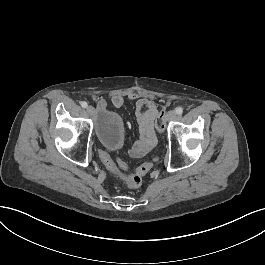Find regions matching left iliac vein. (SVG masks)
I'll return each mask as SVG.
<instances>
[{
  "label": "left iliac vein",
  "instance_id": "4c4485c4",
  "mask_svg": "<svg viewBox=\"0 0 265 265\" xmlns=\"http://www.w3.org/2000/svg\"><path fill=\"white\" fill-rule=\"evenodd\" d=\"M176 118V112L174 110L168 111L165 118L163 119L164 123H167L171 120H174Z\"/></svg>",
  "mask_w": 265,
  "mask_h": 265
}]
</instances>
